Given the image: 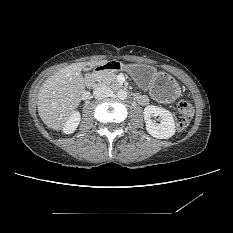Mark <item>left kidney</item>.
I'll use <instances>...</instances> for the list:
<instances>
[{"label": "left kidney", "instance_id": "5707ae66", "mask_svg": "<svg viewBox=\"0 0 233 233\" xmlns=\"http://www.w3.org/2000/svg\"><path fill=\"white\" fill-rule=\"evenodd\" d=\"M147 132L158 139H167L175 134V122L170 111L158 106H146L143 111ZM159 116L161 122L158 124L152 117Z\"/></svg>", "mask_w": 233, "mask_h": 233}]
</instances>
